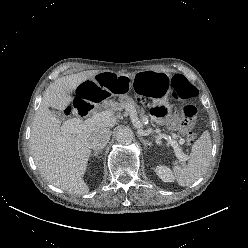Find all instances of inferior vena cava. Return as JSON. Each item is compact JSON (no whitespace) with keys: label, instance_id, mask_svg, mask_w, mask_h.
Returning a JSON list of instances; mask_svg holds the SVG:
<instances>
[{"label":"inferior vena cava","instance_id":"602c4592","mask_svg":"<svg viewBox=\"0 0 248 248\" xmlns=\"http://www.w3.org/2000/svg\"><path fill=\"white\" fill-rule=\"evenodd\" d=\"M111 131L109 128L96 130L89 138L90 148L97 151L103 149L110 140Z\"/></svg>","mask_w":248,"mask_h":248}]
</instances>
